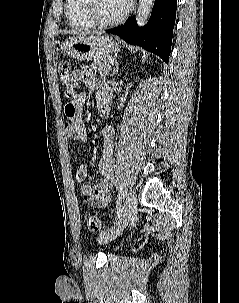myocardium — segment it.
Here are the masks:
<instances>
[{
  "mask_svg": "<svg viewBox=\"0 0 239 303\" xmlns=\"http://www.w3.org/2000/svg\"><path fill=\"white\" fill-rule=\"evenodd\" d=\"M83 10L88 20L96 27H111L122 23L129 15L131 6L117 18L111 20H104L98 15V0H84Z\"/></svg>",
  "mask_w": 239,
  "mask_h": 303,
  "instance_id": "obj_1",
  "label": "myocardium"
}]
</instances>
